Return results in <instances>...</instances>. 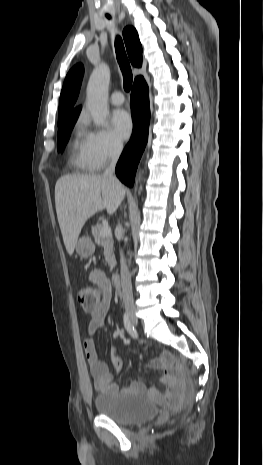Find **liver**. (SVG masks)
Listing matches in <instances>:
<instances>
[{"instance_id": "1", "label": "liver", "mask_w": 263, "mask_h": 465, "mask_svg": "<svg viewBox=\"0 0 263 465\" xmlns=\"http://www.w3.org/2000/svg\"><path fill=\"white\" fill-rule=\"evenodd\" d=\"M125 196L123 186H116L100 175H65L55 185V205L64 245L72 255L86 221L106 209L113 214Z\"/></svg>"}]
</instances>
